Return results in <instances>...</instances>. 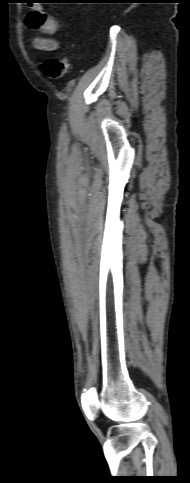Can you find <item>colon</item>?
Wrapping results in <instances>:
<instances>
[{
  "label": "colon",
  "instance_id": "1",
  "mask_svg": "<svg viewBox=\"0 0 190 483\" xmlns=\"http://www.w3.org/2000/svg\"><path fill=\"white\" fill-rule=\"evenodd\" d=\"M41 71L50 79L57 80L69 72V64L65 56L48 58L40 63Z\"/></svg>",
  "mask_w": 190,
  "mask_h": 483
}]
</instances>
